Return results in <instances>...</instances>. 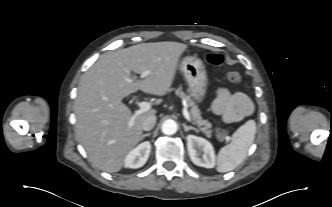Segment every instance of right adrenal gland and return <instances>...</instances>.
Masks as SVG:
<instances>
[{"instance_id": "obj_1", "label": "right adrenal gland", "mask_w": 332, "mask_h": 207, "mask_svg": "<svg viewBox=\"0 0 332 207\" xmlns=\"http://www.w3.org/2000/svg\"><path fill=\"white\" fill-rule=\"evenodd\" d=\"M150 134H151L150 132L146 133V134H143L142 137H141V139H144L145 137L150 136Z\"/></svg>"}]
</instances>
